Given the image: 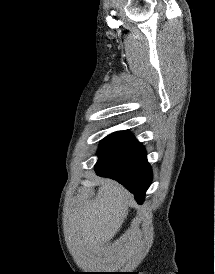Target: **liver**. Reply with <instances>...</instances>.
Instances as JSON below:
<instances>
[{
    "mask_svg": "<svg viewBox=\"0 0 215 274\" xmlns=\"http://www.w3.org/2000/svg\"><path fill=\"white\" fill-rule=\"evenodd\" d=\"M130 197L121 185L106 179L92 201H77L69 217L73 248L85 252L109 242L128 215Z\"/></svg>",
    "mask_w": 215,
    "mask_h": 274,
    "instance_id": "obj_1",
    "label": "liver"
}]
</instances>
